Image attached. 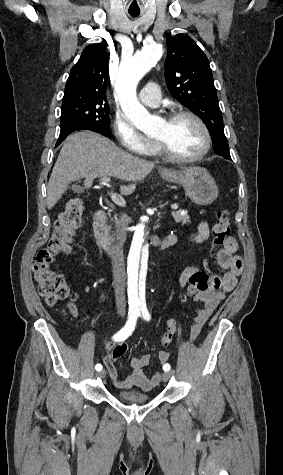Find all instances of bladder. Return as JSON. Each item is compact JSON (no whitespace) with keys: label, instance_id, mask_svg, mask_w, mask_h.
Returning a JSON list of instances; mask_svg holds the SVG:
<instances>
[{"label":"bladder","instance_id":"31cf9c89","mask_svg":"<svg viewBox=\"0 0 283 475\" xmlns=\"http://www.w3.org/2000/svg\"><path fill=\"white\" fill-rule=\"evenodd\" d=\"M115 398L127 404L143 405L152 401L153 395L139 390H119L114 394Z\"/></svg>","mask_w":283,"mask_h":475}]
</instances>
